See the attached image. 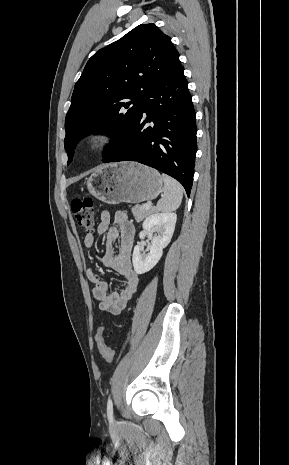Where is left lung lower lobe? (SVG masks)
Returning <instances> with one entry per match:
<instances>
[{
    "label": "left lung lower lobe",
    "mask_w": 289,
    "mask_h": 465,
    "mask_svg": "<svg viewBox=\"0 0 289 465\" xmlns=\"http://www.w3.org/2000/svg\"><path fill=\"white\" fill-rule=\"evenodd\" d=\"M146 122L153 124L145 128ZM196 148L195 111L180 66L144 94L138 117L103 162L130 160L153 167L177 179L189 196Z\"/></svg>",
    "instance_id": "obj_1"
}]
</instances>
